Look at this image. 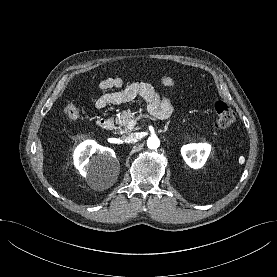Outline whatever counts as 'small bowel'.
<instances>
[{
  "label": "small bowel",
  "instance_id": "small-bowel-1",
  "mask_svg": "<svg viewBox=\"0 0 277 277\" xmlns=\"http://www.w3.org/2000/svg\"><path fill=\"white\" fill-rule=\"evenodd\" d=\"M162 83L168 88L174 85L173 79L167 75L162 77ZM99 88L104 91L115 88L117 91L106 92L100 96L95 103L97 109H102L110 104L129 102L136 97H141L148 103L149 112L159 119H166L172 110L169 96L161 97L149 83L135 82L123 87L122 79L117 77L101 81Z\"/></svg>",
  "mask_w": 277,
  "mask_h": 277
}]
</instances>
